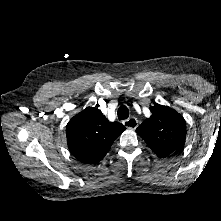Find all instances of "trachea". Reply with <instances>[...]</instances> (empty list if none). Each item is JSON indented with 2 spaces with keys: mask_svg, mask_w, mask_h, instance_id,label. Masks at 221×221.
Segmentation results:
<instances>
[{
  "mask_svg": "<svg viewBox=\"0 0 221 221\" xmlns=\"http://www.w3.org/2000/svg\"><path fill=\"white\" fill-rule=\"evenodd\" d=\"M117 115L119 120L127 119L129 117L128 108L125 105H121L118 109Z\"/></svg>",
  "mask_w": 221,
  "mask_h": 221,
  "instance_id": "obj_1",
  "label": "trachea"
}]
</instances>
